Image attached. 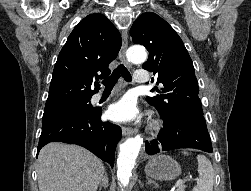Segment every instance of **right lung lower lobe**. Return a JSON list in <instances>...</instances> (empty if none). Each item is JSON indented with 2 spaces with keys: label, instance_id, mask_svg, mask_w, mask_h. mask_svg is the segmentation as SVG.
Listing matches in <instances>:
<instances>
[{
  "label": "right lung lower lobe",
  "instance_id": "1",
  "mask_svg": "<svg viewBox=\"0 0 251 191\" xmlns=\"http://www.w3.org/2000/svg\"><path fill=\"white\" fill-rule=\"evenodd\" d=\"M101 114V110L97 109L92 113L69 114L43 123L37 155L50 142L72 143L90 150L113 167L121 128L102 122Z\"/></svg>",
  "mask_w": 251,
  "mask_h": 191
}]
</instances>
